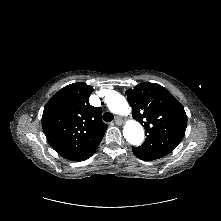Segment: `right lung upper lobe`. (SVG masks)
Here are the masks:
<instances>
[{
    "instance_id": "cb5924a9",
    "label": "right lung upper lobe",
    "mask_w": 221,
    "mask_h": 221,
    "mask_svg": "<svg viewBox=\"0 0 221 221\" xmlns=\"http://www.w3.org/2000/svg\"><path fill=\"white\" fill-rule=\"evenodd\" d=\"M93 90L82 82L67 85L44 107L45 136L53 149L68 160H82L100 144L107 129L101 108L89 104Z\"/></svg>"
}]
</instances>
